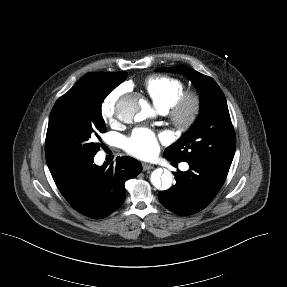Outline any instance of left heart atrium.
Listing matches in <instances>:
<instances>
[{"mask_svg":"<svg viewBox=\"0 0 287 287\" xmlns=\"http://www.w3.org/2000/svg\"><path fill=\"white\" fill-rule=\"evenodd\" d=\"M163 138V136H160ZM125 150L138 158L148 159L159 150L158 136L147 128H137L124 140Z\"/></svg>","mask_w":287,"mask_h":287,"instance_id":"obj_1","label":"left heart atrium"}]
</instances>
